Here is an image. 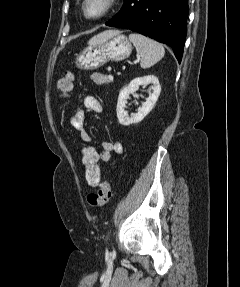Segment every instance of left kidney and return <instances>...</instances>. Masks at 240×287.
Returning a JSON list of instances; mask_svg holds the SVG:
<instances>
[{
  "mask_svg": "<svg viewBox=\"0 0 240 287\" xmlns=\"http://www.w3.org/2000/svg\"><path fill=\"white\" fill-rule=\"evenodd\" d=\"M149 83L153 84V92L149 94V97L146 98V101L142 104L141 107L138 108V112L136 114H132L129 117L127 111L125 110L129 95L133 94L134 97H138V95L135 93L139 89V87L142 85H147ZM160 92L161 86L159 84V80L154 75H148L133 79L129 83V85L124 87L119 93L116 107V113L119 123L123 126H129L131 124H137L141 122L153 109L155 103L158 100Z\"/></svg>",
  "mask_w": 240,
  "mask_h": 287,
  "instance_id": "5707ae66",
  "label": "left kidney"
}]
</instances>
